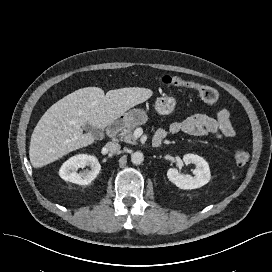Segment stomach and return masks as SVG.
<instances>
[{
  "instance_id": "stomach-1",
  "label": "stomach",
  "mask_w": 272,
  "mask_h": 272,
  "mask_svg": "<svg viewBox=\"0 0 272 272\" xmlns=\"http://www.w3.org/2000/svg\"><path fill=\"white\" fill-rule=\"evenodd\" d=\"M155 110L161 115L171 114L176 106V99L173 96L163 95L155 101ZM148 120V116L143 109L134 108L119 117V122L123 126L142 125Z\"/></svg>"
}]
</instances>
